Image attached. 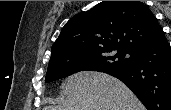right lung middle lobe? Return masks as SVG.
<instances>
[{
  "instance_id": "obj_1",
  "label": "right lung middle lobe",
  "mask_w": 171,
  "mask_h": 110,
  "mask_svg": "<svg viewBox=\"0 0 171 110\" xmlns=\"http://www.w3.org/2000/svg\"><path fill=\"white\" fill-rule=\"evenodd\" d=\"M126 54L130 57L124 58ZM134 58V52L123 48L99 49L57 56L49 61L45 82H52L82 70L108 72L116 68H125L134 62Z\"/></svg>"
}]
</instances>
